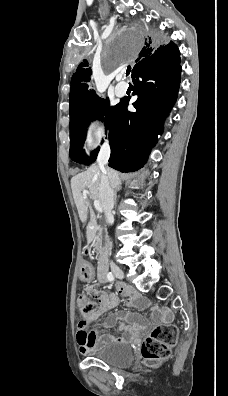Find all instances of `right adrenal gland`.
Here are the masks:
<instances>
[{
    "label": "right adrenal gland",
    "instance_id": "obj_1",
    "mask_svg": "<svg viewBox=\"0 0 228 396\" xmlns=\"http://www.w3.org/2000/svg\"><path fill=\"white\" fill-rule=\"evenodd\" d=\"M120 190V187L115 188L114 190V200H115V204H116V198H117V192Z\"/></svg>",
    "mask_w": 228,
    "mask_h": 396
}]
</instances>
